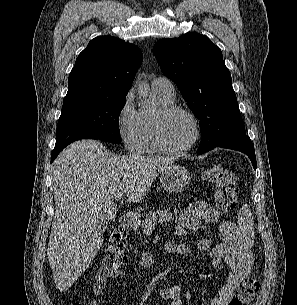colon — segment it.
Returning <instances> with one entry per match:
<instances>
[{
  "instance_id": "obj_1",
  "label": "colon",
  "mask_w": 297,
  "mask_h": 305,
  "mask_svg": "<svg viewBox=\"0 0 297 305\" xmlns=\"http://www.w3.org/2000/svg\"><path fill=\"white\" fill-rule=\"evenodd\" d=\"M203 178L215 185L214 210L219 215L227 214L235 205L237 195V177L228 167L215 164L208 167ZM127 250V237L124 231L113 232L106 246V259L114 263L125 260ZM260 287L259 280L255 276L246 279L239 287L236 295L231 299L229 305H249L254 299ZM72 305H79L73 303Z\"/></svg>"
}]
</instances>
